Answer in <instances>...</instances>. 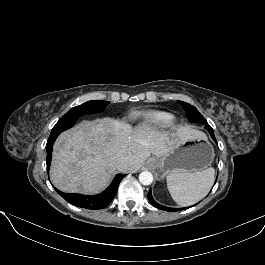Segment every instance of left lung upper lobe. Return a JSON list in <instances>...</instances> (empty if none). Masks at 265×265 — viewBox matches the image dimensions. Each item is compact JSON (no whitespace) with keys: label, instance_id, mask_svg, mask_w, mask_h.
Masks as SVG:
<instances>
[{"label":"left lung upper lobe","instance_id":"1","mask_svg":"<svg viewBox=\"0 0 265 265\" xmlns=\"http://www.w3.org/2000/svg\"><path fill=\"white\" fill-rule=\"evenodd\" d=\"M186 111V117L190 122L193 123H205L207 122L205 118L200 114V112L192 105L179 101Z\"/></svg>","mask_w":265,"mask_h":265}]
</instances>
